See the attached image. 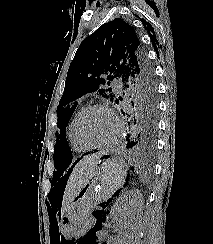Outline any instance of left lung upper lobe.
I'll list each match as a JSON object with an SVG mask.
<instances>
[{
  "instance_id": "left-lung-upper-lobe-1",
  "label": "left lung upper lobe",
  "mask_w": 213,
  "mask_h": 244,
  "mask_svg": "<svg viewBox=\"0 0 213 244\" xmlns=\"http://www.w3.org/2000/svg\"><path fill=\"white\" fill-rule=\"evenodd\" d=\"M97 93L127 104L135 117L158 113L157 89L150 66L134 29L120 18L103 24L79 46L68 69L64 93L57 107L60 129L54 149L57 170L66 169L72 158L66 140V127L77 100Z\"/></svg>"
}]
</instances>
